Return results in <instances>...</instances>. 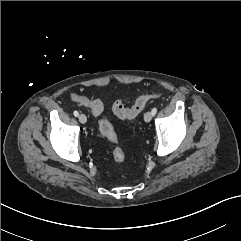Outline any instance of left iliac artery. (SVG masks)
<instances>
[{
    "mask_svg": "<svg viewBox=\"0 0 241 241\" xmlns=\"http://www.w3.org/2000/svg\"><path fill=\"white\" fill-rule=\"evenodd\" d=\"M157 113V108L152 109V115L154 116Z\"/></svg>",
    "mask_w": 241,
    "mask_h": 241,
    "instance_id": "left-iliac-artery-1",
    "label": "left iliac artery"
}]
</instances>
